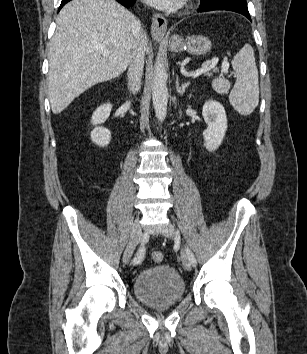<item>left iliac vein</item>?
<instances>
[{
  "label": "left iliac vein",
  "instance_id": "left-iliac-vein-1",
  "mask_svg": "<svg viewBox=\"0 0 307 354\" xmlns=\"http://www.w3.org/2000/svg\"><path fill=\"white\" fill-rule=\"evenodd\" d=\"M162 234L168 238H174L176 237V231L173 225L167 224L163 229H162ZM181 260L183 263L184 268L187 271H190L192 266H191V261L189 258V255L187 251L184 248H181Z\"/></svg>",
  "mask_w": 307,
  "mask_h": 354
}]
</instances>
